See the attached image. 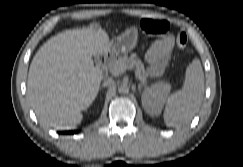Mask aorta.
I'll return each instance as SVG.
<instances>
[{
    "instance_id": "1",
    "label": "aorta",
    "mask_w": 243,
    "mask_h": 167,
    "mask_svg": "<svg viewBox=\"0 0 243 167\" xmlns=\"http://www.w3.org/2000/svg\"><path fill=\"white\" fill-rule=\"evenodd\" d=\"M118 92L120 94H127L129 92V87L127 84H121L119 87H118Z\"/></svg>"
}]
</instances>
